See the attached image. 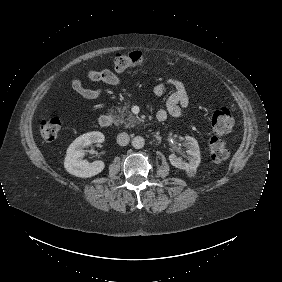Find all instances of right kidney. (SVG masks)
Returning a JSON list of instances; mask_svg holds the SVG:
<instances>
[{"label": "right kidney", "mask_w": 282, "mask_h": 282, "mask_svg": "<svg viewBox=\"0 0 282 282\" xmlns=\"http://www.w3.org/2000/svg\"><path fill=\"white\" fill-rule=\"evenodd\" d=\"M103 141L104 135L100 132H89L75 139L68 147L64 158L65 170L79 178H91L100 174L105 168V163L103 161L89 163L84 159L85 152L83 149L90 144Z\"/></svg>", "instance_id": "obj_1"}]
</instances>
